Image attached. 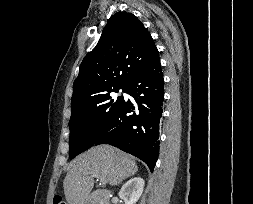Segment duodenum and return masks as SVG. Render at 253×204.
I'll list each match as a JSON object with an SVG mask.
<instances>
[{
    "label": "duodenum",
    "instance_id": "410a0bca",
    "mask_svg": "<svg viewBox=\"0 0 253 204\" xmlns=\"http://www.w3.org/2000/svg\"><path fill=\"white\" fill-rule=\"evenodd\" d=\"M84 204H111V194L106 190H96L85 199Z\"/></svg>",
    "mask_w": 253,
    "mask_h": 204
}]
</instances>
